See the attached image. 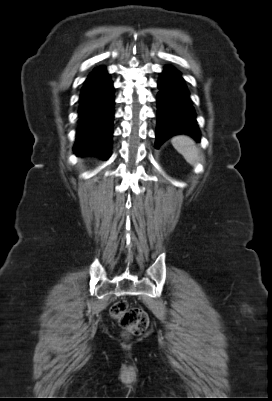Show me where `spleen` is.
Wrapping results in <instances>:
<instances>
[{"label":"spleen","mask_w":272,"mask_h":401,"mask_svg":"<svg viewBox=\"0 0 272 401\" xmlns=\"http://www.w3.org/2000/svg\"><path fill=\"white\" fill-rule=\"evenodd\" d=\"M171 142L173 147L189 164L194 165L198 161V149L190 137L185 135L175 136Z\"/></svg>","instance_id":"obj_1"}]
</instances>
